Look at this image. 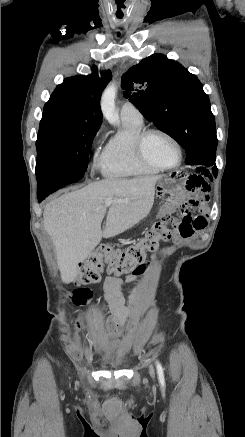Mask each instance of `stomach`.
I'll return each mask as SVG.
<instances>
[{
	"instance_id": "1",
	"label": "stomach",
	"mask_w": 245,
	"mask_h": 437,
	"mask_svg": "<svg viewBox=\"0 0 245 437\" xmlns=\"http://www.w3.org/2000/svg\"><path fill=\"white\" fill-rule=\"evenodd\" d=\"M185 182L184 174L179 171L161 176L155 188V199L159 205L163 203L167 194H171L175 188H181Z\"/></svg>"
}]
</instances>
